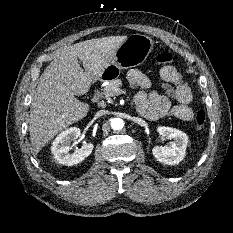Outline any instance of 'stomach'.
I'll return each instance as SVG.
<instances>
[{
  "instance_id": "1",
  "label": "stomach",
  "mask_w": 233,
  "mask_h": 233,
  "mask_svg": "<svg viewBox=\"0 0 233 233\" xmlns=\"http://www.w3.org/2000/svg\"><path fill=\"white\" fill-rule=\"evenodd\" d=\"M153 45V40L146 35L130 34L116 50L108 67L114 66L120 71L140 65L152 51Z\"/></svg>"
}]
</instances>
